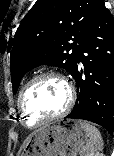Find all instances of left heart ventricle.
<instances>
[{
  "mask_svg": "<svg viewBox=\"0 0 114 156\" xmlns=\"http://www.w3.org/2000/svg\"><path fill=\"white\" fill-rule=\"evenodd\" d=\"M67 100L64 85L54 78H43L32 84L22 97V108L29 124L62 110Z\"/></svg>",
  "mask_w": 114,
  "mask_h": 156,
  "instance_id": "left-heart-ventricle-1",
  "label": "left heart ventricle"
}]
</instances>
